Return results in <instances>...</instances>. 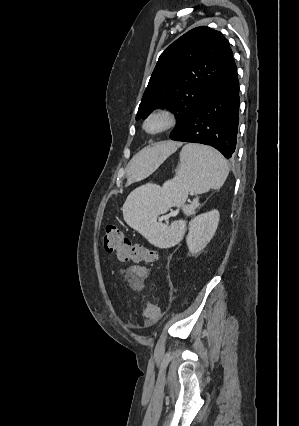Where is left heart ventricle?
<instances>
[{"label":"left heart ventricle","mask_w":299,"mask_h":426,"mask_svg":"<svg viewBox=\"0 0 299 426\" xmlns=\"http://www.w3.org/2000/svg\"><path fill=\"white\" fill-rule=\"evenodd\" d=\"M161 126V122L160 121H152L149 125H148V129L151 131H154L156 129H158Z\"/></svg>","instance_id":"1"}]
</instances>
